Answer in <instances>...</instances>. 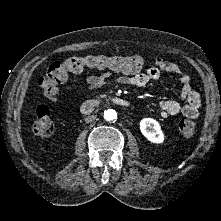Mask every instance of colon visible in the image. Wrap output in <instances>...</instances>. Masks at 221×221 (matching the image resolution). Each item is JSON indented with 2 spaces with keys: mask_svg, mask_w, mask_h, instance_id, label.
I'll list each match as a JSON object with an SVG mask.
<instances>
[{
  "mask_svg": "<svg viewBox=\"0 0 221 221\" xmlns=\"http://www.w3.org/2000/svg\"><path fill=\"white\" fill-rule=\"evenodd\" d=\"M147 66L140 56H85L70 57L63 61H55L50 64L46 76L40 80V88L45 97L50 100L57 98L59 85L63 83L69 73H80L85 67L110 68L122 73H137ZM178 128L182 135L191 136L195 132L196 125L193 120L184 118L178 122ZM54 129L52 112L45 106L37 108L36 118L33 123V133L39 137H49Z\"/></svg>",
  "mask_w": 221,
  "mask_h": 221,
  "instance_id": "5ec220e1",
  "label": "colon"
}]
</instances>
